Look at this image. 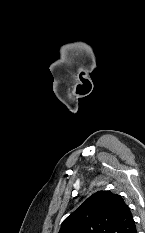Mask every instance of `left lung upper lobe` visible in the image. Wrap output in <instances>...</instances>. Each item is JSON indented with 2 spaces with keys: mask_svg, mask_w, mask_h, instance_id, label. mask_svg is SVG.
<instances>
[{
  "mask_svg": "<svg viewBox=\"0 0 145 233\" xmlns=\"http://www.w3.org/2000/svg\"><path fill=\"white\" fill-rule=\"evenodd\" d=\"M135 227L120 195L98 191L63 221L59 233H132Z\"/></svg>",
  "mask_w": 145,
  "mask_h": 233,
  "instance_id": "1",
  "label": "left lung upper lobe"
}]
</instances>
